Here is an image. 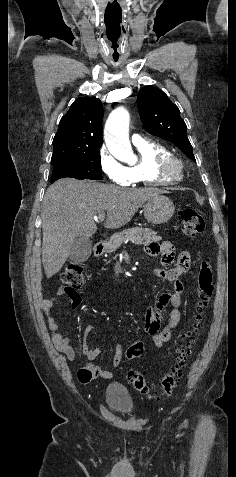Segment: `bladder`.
Instances as JSON below:
<instances>
[{
  "instance_id": "1",
  "label": "bladder",
  "mask_w": 236,
  "mask_h": 477,
  "mask_svg": "<svg viewBox=\"0 0 236 477\" xmlns=\"http://www.w3.org/2000/svg\"><path fill=\"white\" fill-rule=\"evenodd\" d=\"M106 404L115 411L126 412L133 409V401L126 389L118 384L108 385L105 392Z\"/></svg>"
}]
</instances>
